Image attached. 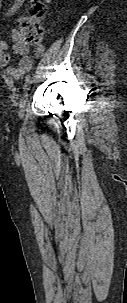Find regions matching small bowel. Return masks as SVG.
Instances as JSON below:
<instances>
[{
	"label": "small bowel",
	"mask_w": 127,
	"mask_h": 303,
	"mask_svg": "<svg viewBox=\"0 0 127 303\" xmlns=\"http://www.w3.org/2000/svg\"><path fill=\"white\" fill-rule=\"evenodd\" d=\"M0 0V8L2 6ZM26 2V0H14L11 6L4 11L5 17L11 16L16 13ZM12 36L17 38V32L14 30ZM9 49L8 42L0 38V65L5 67L7 76L13 80H19L23 75L27 74L33 67L34 59L28 54L29 48L22 42H16L13 45L12 51L14 55L20 57V60L16 66H11V55L7 53ZM44 46H38L35 49V58H39L44 53Z\"/></svg>",
	"instance_id": "c3829d8e"
}]
</instances>
